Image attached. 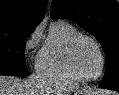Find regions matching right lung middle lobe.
Masks as SVG:
<instances>
[{
  "label": "right lung middle lobe",
  "instance_id": "obj_1",
  "mask_svg": "<svg viewBox=\"0 0 119 95\" xmlns=\"http://www.w3.org/2000/svg\"><path fill=\"white\" fill-rule=\"evenodd\" d=\"M31 26H12L0 31V75L26 76L25 39L34 31Z\"/></svg>",
  "mask_w": 119,
  "mask_h": 95
}]
</instances>
